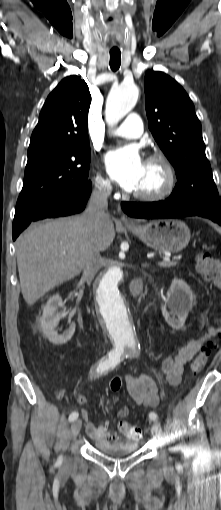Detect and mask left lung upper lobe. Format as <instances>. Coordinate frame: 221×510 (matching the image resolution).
Returning <instances> with one entry per match:
<instances>
[{"instance_id": "obj_1", "label": "left lung upper lobe", "mask_w": 221, "mask_h": 510, "mask_svg": "<svg viewBox=\"0 0 221 510\" xmlns=\"http://www.w3.org/2000/svg\"><path fill=\"white\" fill-rule=\"evenodd\" d=\"M144 82L149 129L174 166L178 180L167 200L178 204L220 205L205 155L201 124L189 96L163 72H148Z\"/></svg>"}]
</instances>
